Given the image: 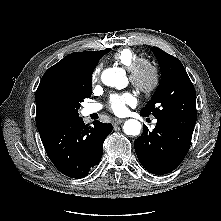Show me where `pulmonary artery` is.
<instances>
[{
	"label": "pulmonary artery",
	"instance_id": "e3ab8cb5",
	"mask_svg": "<svg viewBox=\"0 0 221 221\" xmlns=\"http://www.w3.org/2000/svg\"><path fill=\"white\" fill-rule=\"evenodd\" d=\"M100 109H101L100 104H90L86 107L85 110L87 114H91V113L98 112Z\"/></svg>",
	"mask_w": 221,
	"mask_h": 221
}]
</instances>
